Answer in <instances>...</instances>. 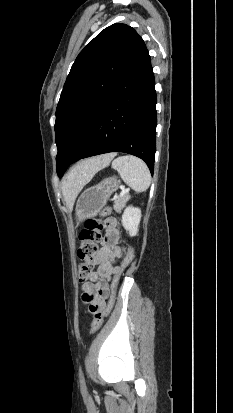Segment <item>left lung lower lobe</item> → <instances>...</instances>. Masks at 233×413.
Listing matches in <instances>:
<instances>
[{
	"mask_svg": "<svg viewBox=\"0 0 233 413\" xmlns=\"http://www.w3.org/2000/svg\"><path fill=\"white\" fill-rule=\"evenodd\" d=\"M156 92L150 56L143 43L127 72L93 119L67 167L82 158L124 152L143 159L154 171Z\"/></svg>",
	"mask_w": 233,
	"mask_h": 413,
	"instance_id": "left-lung-lower-lobe-1",
	"label": "left lung lower lobe"
}]
</instances>
